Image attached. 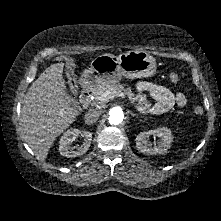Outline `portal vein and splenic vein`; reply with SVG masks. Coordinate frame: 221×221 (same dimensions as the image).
<instances>
[{
  "label": "portal vein and splenic vein",
  "instance_id": "obj_1",
  "mask_svg": "<svg viewBox=\"0 0 221 221\" xmlns=\"http://www.w3.org/2000/svg\"><path fill=\"white\" fill-rule=\"evenodd\" d=\"M115 96H118V97H122V98H125V94L124 93H118V94H113L112 92H105L101 98V101L102 102H105V101H108L109 99H112L114 98Z\"/></svg>",
  "mask_w": 221,
  "mask_h": 221
}]
</instances>
